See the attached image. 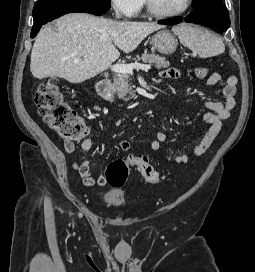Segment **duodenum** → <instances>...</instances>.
Wrapping results in <instances>:
<instances>
[{
	"mask_svg": "<svg viewBox=\"0 0 255 272\" xmlns=\"http://www.w3.org/2000/svg\"><path fill=\"white\" fill-rule=\"evenodd\" d=\"M95 88L98 94L106 101L115 104L116 99L111 91V82L107 78L100 79L96 82Z\"/></svg>",
	"mask_w": 255,
	"mask_h": 272,
	"instance_id": "duodenum-1",
	"label": "duodenum"
}]
</instances>
